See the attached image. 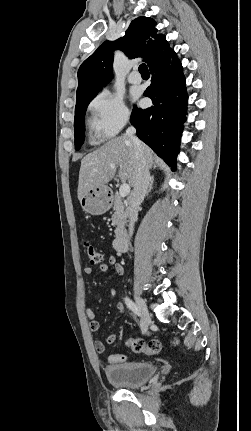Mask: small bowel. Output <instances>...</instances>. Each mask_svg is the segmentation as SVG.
Masks as SVG:
<instances>
[{
    "instance_id": "small-bowel-1",
    "label": "small bowel",
    "mask_w": 251,
    "mask_h": 431,
    "mask_svg": "<svg viewBox=\"0 0 251 431\" xmlns=\"http://www.w3.org/2000/svg\"><path fill=\"white\" fill-rule=\"evenodd\" d=\"M110 266L114 268L115 272L118 275H122L124 273V269L123 266L121 265V263H119L116 259V257H114L113 255H109L108 256V264L106 263H101L99 265V269L101 272H108L110 270ZM83 272L85 275H91L93 273V269L90 266H86L83 269ZM116 309L119 313H124L125 311V307L122 303H117L116 304ZM86 317L89 321V327L91 329V331L96 332L99 330L100 328V323L98 321V319L96 318L95 312L91 309H87L86 312ZM118 339V335L113 333V334H109L104 341L101 340H96L95 341V348L99 353H102L105 351V344H112L114 343L116 340ZM111 363V362H110Z\"/></svg>"
}]
</instances>
